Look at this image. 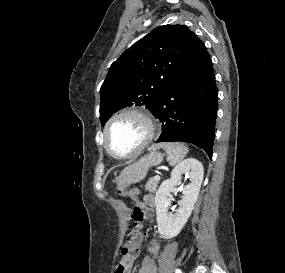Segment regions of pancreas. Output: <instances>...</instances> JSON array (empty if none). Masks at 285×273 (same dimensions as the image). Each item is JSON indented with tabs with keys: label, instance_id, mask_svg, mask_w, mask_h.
<instances>
[{
	"label": "pancreas",
	"instance_id": "1",
	"mask_svg": "<svg viewBox=\"0 0 285 273\" xmlns=\"http://www.w3.org/2000/svg\"><path fill=\"white\" fill-rule=\"evenodd\" d=\"M158 183H159L158 180H156L154 178H150L145 185V190L149 191L151 193H155L157 186H158Z\"/></svg>",
	"mask_w": 285,
	"mask_h": 273
}]
</instances>
